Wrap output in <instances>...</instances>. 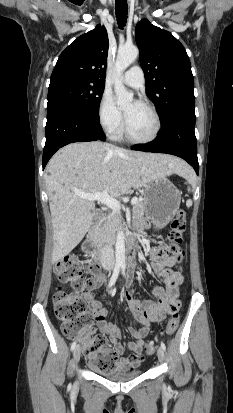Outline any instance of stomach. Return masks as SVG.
I'll return each instance as SVG.
<instances>
[{
  "label": "stomach",
  "instance_id": "obj_1",
  "mask_svg": "<svg viewBox=\"0 0 233 413\" xmlns=\"http://www.w3.org/2000/svg\"><path fill=\"white\" fill-rule=\"evenodd\" d=\"M145 213L156 228L165 227L180 207L181 193L166 177L155 178L144 186Z\"/></svg>",
  "mask_w": 233,
  "mask_h": 413
}]
</instances>
